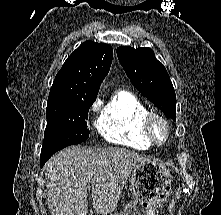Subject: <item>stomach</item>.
Wrapping results in <instances>:
<instances>
[{"label": "stomach", "mask_w": 221, "mask_h": 215, "mask_svg": "<svg viewBox=\"0 0 221 215\" xmlns=\"http://www.w3.org/2000/svg\"><path fill=\"white\" fill-rule=\"evenodd\" d=\"M172 176L162 163L148 161L132 170V200L122 213L113 215H155L156 208L170 195Z\"/></svg>", "instance_id": "obj_1"}]
</instances>
